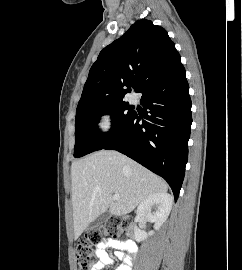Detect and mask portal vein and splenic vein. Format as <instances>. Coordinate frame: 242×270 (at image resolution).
<instances>
[{"instance_id":"portal-vein-and-splenic-vein-1","label":"portal vein and splenic vein","mask_w":242,"mask_h":270,"mask_svg":"<svg viewBox=\"0 0 242 270\" xmlns=\"http://www.w3.org/2000/svg\"><path fill=\"white\" fill-rule=\"evenodd\" d=\"M113 198H114L115 200H119V199H120V195H119V194H114V195H113Z\"/></svg>"}]
</instances>
